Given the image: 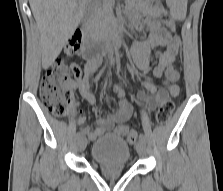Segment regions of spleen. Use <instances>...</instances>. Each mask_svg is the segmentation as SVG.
Wrapping results in <instances>:
<instances>
[{"label": "spleen", "mask_w": 223, "mask_h": 191, "mask_svg": "<svg viewBox=\"0 0 223 191\" xmlns=\"http://www.w3.org/2000/svg\"><path fill=\"white\" fill-rule=\"evenodd\" d=\"M171 14L175 19L183 20L187 12V0H167Z\"/></svg>", "instance_id": "obj_1"}]
</instances>
